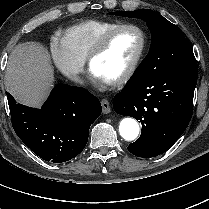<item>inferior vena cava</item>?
Here are the masks:
<instances>
[{
	"label": "inferior vena cava",
	"mask_w": 209,
	"mask_h": 209,
	"mask_svg": "<svg viewBox=\"0 0 209 209\" xmlns=\"http://www.w3.org/2000/svg\"><path fill=\"white\" fill-rule=\"evenodd\" d=\"M70 79L72 81L77 82V83H80V84H83L84 83L83 79L81 77H79L78 75H72L70 77Z\"/></svg>",
	"instance_id": "1"
}]
</instances>
